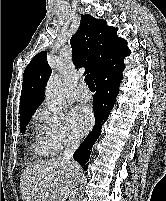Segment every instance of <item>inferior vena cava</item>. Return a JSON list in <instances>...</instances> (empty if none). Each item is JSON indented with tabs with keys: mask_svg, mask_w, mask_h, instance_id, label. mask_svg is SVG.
<instances>
[{
	"mask_svg": "<svg viewBox=\"0 0 166 201\" xmlns=\"http://www.w3.org/2000/svg\"><path fill=\"white\" fill-rule=\"evenodd\" d=\"M79 147V141L78 140H69L67 143V146L63 153L62 161L66 163H74L73 161V154ZM77 180H75L73 191L69 197V201H75V195L77 193Z\"/></svg>",
	"mask_w": 166,
	"mask_h": 201,
	"instance_id": "obj_1",
	"label": "inferior vena cava"
}]
</instances>
